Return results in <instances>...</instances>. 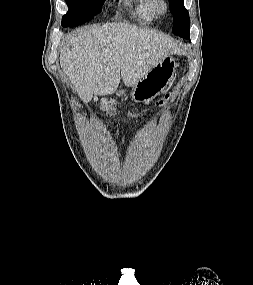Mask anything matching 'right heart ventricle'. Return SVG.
<instances>
[{"instance_id": "1", "label": "right heart ventricle", "mask_w": 253, "mask_h": 285, "mask_svg": "<svg viewBox=\"0 0 253 285\" xmlns=\"http://www.w3.org/2000/svg\"><path fill=\"white\" fill-rule=\"evenodd\" d=\"M132 15L142 22H151L155 13L152 8V0H126Z\"/></svg>"}]
</instances>
